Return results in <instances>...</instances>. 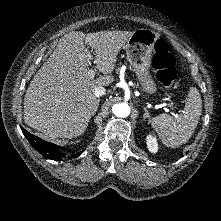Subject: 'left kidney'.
I'll use <instances>...</instances> for the list:
<instances>
[{
  "label": "left kidney",
  "mask_w": 221,
  "mask_h": 221,
  "mask_svg": "<svg viewBox=\"0 0 221 221\" xmlns=\"http://www.w3.org/2000/svg\"><path fill=\"white\" fill-rule=\"evenodd\" d=\"M148 150L152 153H156L158 151V143L157 139L152 135H147L146 137Z\"/></svg>",
  "instance_id": "1"
}]
</instances>
